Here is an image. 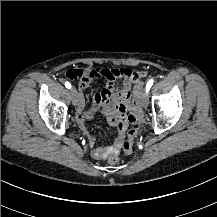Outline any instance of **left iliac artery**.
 I'll return each mask as SVG.
<instances>
[{
	"mask_svg": "<svg viewBox=\"0 0 217 217\" xmlns=\"http://www.w3.org/2000/svg\"><path fill=\"white\" fill-rule=\"evenodd\" d=\"M153 79H150L147 84H146V92L148 93V91L150 90V88L152 87L153 85Z\"/></svg>",
	"mask_w": 217,
	"mask_h": 217,
	"instance_id": "44dca946",
	"label": "left iliac artery"
}]
</instances>
